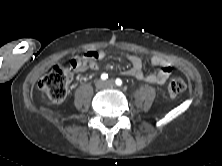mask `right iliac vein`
<instances>
[{
    "label": "right iliac vein",
    "instance_id": "right-iliac-vein-1",
    "mask_svg": "<svg viewBox=\"0 0 222 166\" xmlns=\"http://www.w3.org/2000/svg\"><path fill=\"white\" fill-rule=\"evenodd\" d=\"M95 86L98 88V89H101L104 87V82L101 80V79H98L96 80L95 82Z\"/></svg>",
    "mask_w": 222,
    "mask_h": 166
}]
</instances>
